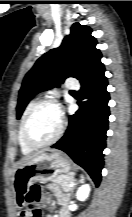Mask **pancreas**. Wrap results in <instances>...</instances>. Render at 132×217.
I'll use <instances>...</instances> for the list:
<instances>
[{
  "label": "pancreas",
  "mask_w": 132,
  "mask_h": 217,
  "mask_svg": "<svg viewBox=\"0 0 132 217\" xmlns=\"http://www.w3.org/2000/svg\"><path fill=\"white\" fill-rule=\"evenodd\" d=\"M74 181H75L74 176L72 174H66V175L61 174L53 180L54 184L60 186L64 192H69L70 190L73 189L69 185L71 183L74 184Z\"/></svg>",
  "instance_id": "cf45deb5"
}]
</instances>
